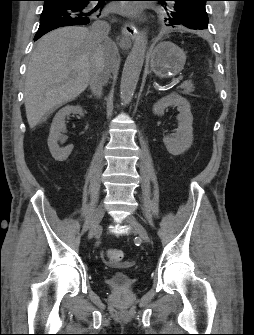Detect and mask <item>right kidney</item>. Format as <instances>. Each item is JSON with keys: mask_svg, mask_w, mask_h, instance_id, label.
Segmentation results:
<instances>
[{"mask_svg": "<svg viewBox=\"0 0 254 335\" xmlns=\"http://www.w3.org/2000/svg\"><path fill=\"white\" fill-rule=\"evenodd\" d=\"M72 113L81 116L84 115L81 106H65L56 113L52 121L48 137V147L52 157L56 161L66 160L73 150V145H68L65 148H60L58 145V141L62 138L61 132L65 129V118Z\"/></svg>", "mask_w": 254, "mask_h": 335, "instance_id": "ca27d5eb", "label": "right kidney"}]
</instances>
